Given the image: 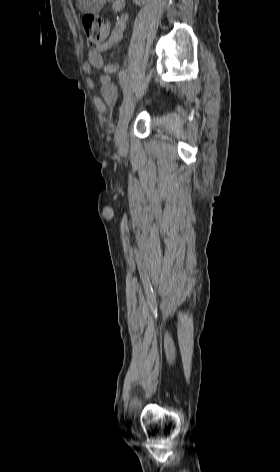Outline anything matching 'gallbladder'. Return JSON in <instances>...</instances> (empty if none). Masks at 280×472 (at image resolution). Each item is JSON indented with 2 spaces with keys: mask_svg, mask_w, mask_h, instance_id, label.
<instances>
[{
  "mask_svg": "<svg viewBox=\"0 0 280 472\" xmlns=\"http://www.w3.org/2000/svg\"><path fill=\"white\" fill-rule=\"evenodd\" d=\"M105 0H77L79 10L84 14H97Z\"/></svg>",
  "mask_w": 280,
  "mask_h": 472,
  "instance_id": "obj_1",
  "label": "gallbladder"
}]
</instances>
